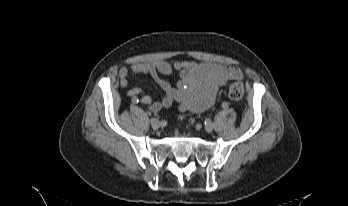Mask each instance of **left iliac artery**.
I'll return each mask as SVG.
<instances>
[{"label":"left iliac artery","mask_w":348,"mask_h":206,"mask_svg":"<svg viewBox=\"0 0 348 206\" xmlns=\"http://www.w3.org/2000/svg\"><path fill=\"white\" fill-rule=\"evenodd\" d=\"M222 107H223V110H229L230 109V102L229 101L222 102Z\"/></svg>","instance_id":"left-iliac-artery-1"}]
</instances>
